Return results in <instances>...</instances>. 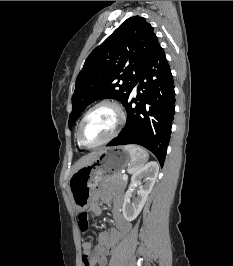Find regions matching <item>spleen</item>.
I'll return each instance as SVG.
<instances>
[{
  "label": "spleen",
  "instance_id": "spleen-1",
  "mask_svg": "<svg viewBox=\"0 0 233 266\" xmlns=\"http://www.w3.org/2000/svg\"><path fill=\"white\" fill-rule=\"evenodd\" d=\"M125 149L130 153L132 164L129 167L130 173H136L148 160L149 154L143 148L136 145H126Z\"/></svg>",
  "mask_w": 233,
  "mask_h": 266
}]
</instances>
